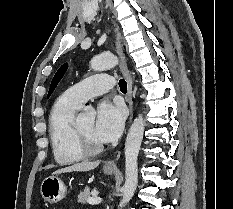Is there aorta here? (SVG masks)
I'll list each match as a JSON object with an SVG mask.
<instances>
[{
	"mask_svg": "<svg viewBox=\"0 0 233 209\" xmlns=\"http://www.w3.org/2000/svg\"><path fill=\"white\" fill-rule=\"evenodd\" d=\"M118 59L115 55L104 53L91 60V68L95 71H103L115 67ZM95 111L93 108H86L79 116V121L93 120ZM145 129V122L142 115L135 118L125 142V184L122 188V200L119 207L122 208L134 195L138 182L137 159L141 147Z\"/></svg>",
	"mask_w": 233,
	"mask_h": 209,
	"instance_id": "obj_1",
	"label": "aorta"
}]
</instances>
